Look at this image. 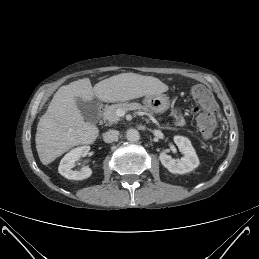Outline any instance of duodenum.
<instances>
[{
	"label": "duodenum",
	"instance_id": "1",
	"mask_svg": "<svg viewBox=\"0 0 259 259\" xmlns=\"http://www.w3.org/2000/svg\"><path fill=\"white\" fill-rule=\"evenodd\" d=\"M104 108H105V105H104V104H101V105L99 106V113H100V114L103 112Z\"/></svg>",
	"mask_w": 259,
	"mask_h": 259
}]
</instances>
